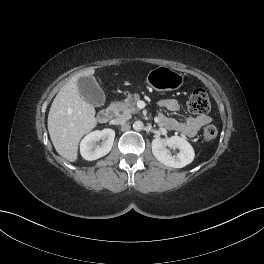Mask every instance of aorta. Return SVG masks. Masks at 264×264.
<instances>
[{"label": "aorta", "mask_w": 264, "mask_h": 264, "mask_svg": "<svg viewBox=\"0 0 264 264\" xmlns=\"http://www.w3.org/2000/svg\"><path fill=\"white\" fill-rule=\"evenodd\" d=\"M143 127H144V124L140 120H137L133 123V129L136 131H141L143 129Z\"/></svg>", "instance_id": "obj_1"}]
</instances>
